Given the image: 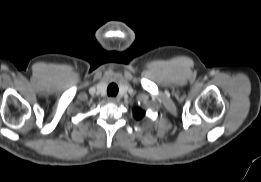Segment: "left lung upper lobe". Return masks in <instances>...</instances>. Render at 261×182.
Instances as JSON below:
<instances>
[{
	"mask_svg": "<svg viewBox=\"0 0 261 182\" xmlns=\"http://www.w3.org/2000/svg\"><path fill=\"white\" fill-rule=\"evenodd\" d=\"M144 111H142L141 109H137L134 111V116L136 119H141L144 116Z\"/></svg>",
	"mask_w": 261,
	"mask_h": 182,
	"instance_id": "obj_1",
	"label": "left lung upper lobe"
}]
</instances>
